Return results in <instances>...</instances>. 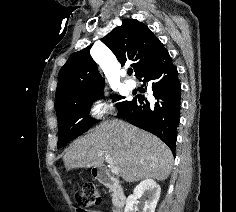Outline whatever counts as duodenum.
Wrapping results in <instances>:
<instances>
[{"instance_id": "duodenum-1", "label": "duodenum", "mask_w": 236, "mask_h": 212, "mask_svg": "<svg viewBox=\"0 0 236 212\" xmlns=\"http://www.w3.org/2000/svg\"><path fill=\"white\" fill-rule=\"evenodd\" d=\"M94 175L102 185L112 192L115 211L120 212L126 200L122 186L107 167L99 166L94 170Z\"/></svg>"}]
</instances>
